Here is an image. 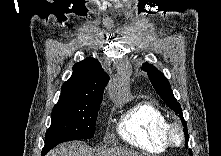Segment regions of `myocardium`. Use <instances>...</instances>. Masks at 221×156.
<instances>
[{"instance_id": "obj_1", "label": "myocardium", "mask_w": 221, "mask_h": 156, "mask_svg": "<svg viewBox=\"0 0 221 156\" xmlns=\"http://www.w3.org/2000/svg\"><path fill=\"white\" fill-rule=\"evenodd\" d=\"M167 142L170 146L179 147L181 146L186 138L185 130L182 124L173 122L169 124L166 133Z\"/></svg>"}]
</instances>
